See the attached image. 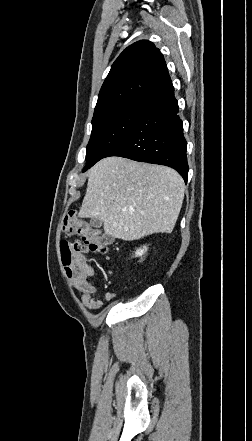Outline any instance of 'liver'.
<instances>
[{
  "label": "liver",
  "mask_w": 252,
  "mask_h": 441,
  "mask_svg": "<svg viewBox=\"0 0 252 441\" xmlns=\"http://www.w3.org/2000/svg\"><path fill=\"white\" fill-rule=\"evenodd\" d=\"M185 192L172 168L107 157L89 171L78 216L100 219L106 234L132 241L172 232Z\"/></svg>",
  "instance_id": "6515ba94"
}]
</instances>
